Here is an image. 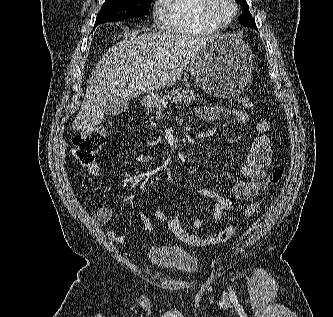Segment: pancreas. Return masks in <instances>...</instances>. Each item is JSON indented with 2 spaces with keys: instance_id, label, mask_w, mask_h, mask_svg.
<instances>
[{
  "instance_id": "cf45deb5",
  "label": "pancreas",
  "mask_w": 333,
  "mask_h": 317,
  "mask_svg": "<svg viewBox=\"0 0 333 317\" xmlns=\"http://www.w3.org/2000/svg\"><path fill=\"white\" fill-rule=\"evenodd\" d=\"M196 100V94L192 90H182L176 89L171 90L168 95H165L163 98L159 100V103L156 106V116L158 119L162 117L164 109L168 105V101H172L174 103H190Z\"/></svg>"
}]
</instances>
